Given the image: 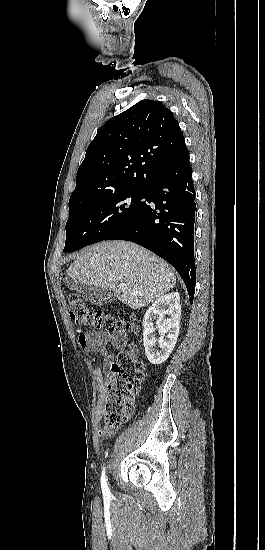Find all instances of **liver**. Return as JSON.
<instances>
[{"label": "liver", "instance_id": "obj_1", "mask_svg": "<svg viewBox=\"0 0 265 550\" xmlns=\"http://www.w3.org/2000/svg\"><path fill=\"white\" fill-rule=\"evenodd\" d=\"M71 279L114 291L132 309H141L169 292L176 272L163 259L129 241H103L80 251L67 270ZM125 284L126 289H119Z\"/></svg>", "mask_w": 265, "mask_h": 550}]
</instances>
